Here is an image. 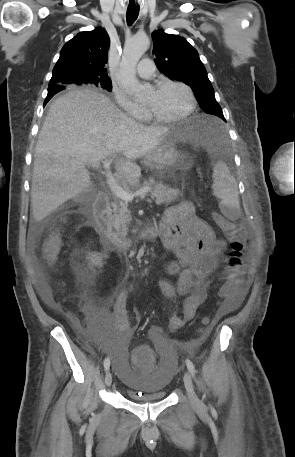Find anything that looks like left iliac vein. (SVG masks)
<instances>
[{"label":"left iliac vein","mask_w":295,"mask_h":457,"mask_svg":"<svg viewBox=\"0 0 295 457\" xmlns=\"http://www.w3.org/2000/svg\"><path fill=\"white\" fill-rule=\"evenodd\" d=\"M183 380H184V385H185V388H186V391H187V394H188V398H189V401H190L191 405L193 407L199 406L200 405V400L198 399V397H197V395H196V393L194 391L192 378H191V375L189 374L188 371H186L184 373Z\"/></svg>","instance_id":"1"}]
</instances>
